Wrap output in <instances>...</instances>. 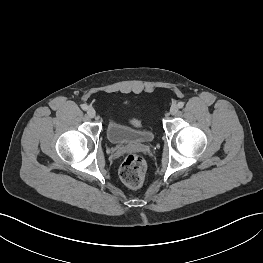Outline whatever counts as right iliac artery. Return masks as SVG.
Segmentation results:
<instances>
[{"instance_id":"right-iliac-artery-1","label":"right iliac artery","mask_w":263,"mask_h":263,"mask_svg":"<svg viewBox=\"0 0 263 263\" xmlns=\"http://www.w3.org/2000/svg\"><path fill=\"white\" fill-rule=\"evenodd\" d=\"M81 108H82L83 110H87V109H88V106H87L86 104H82V105H81Z\"/></svg>"}]
</instances>
